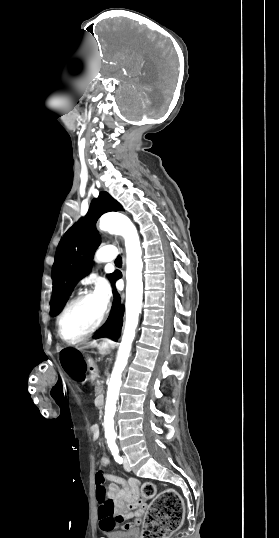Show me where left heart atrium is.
Wrapping results in <instances>:
<instances>
[{"instance_id":"39dd6f15","label":"left heart atrium","mask_w":279,"mask_h":538,"mask_svg":"<svg viewBox=\"0 0 279 538\" xmlns=\"http://www.w3.org/2000/svg\"><path fill=\"white\" fill-rule=\"evenodd\" d=\"M111 293L112 291L110 283L104 278L99 279L96 283L95 295L99 299L103 308L109 304Z\"/></svg>"}]
</instances>
